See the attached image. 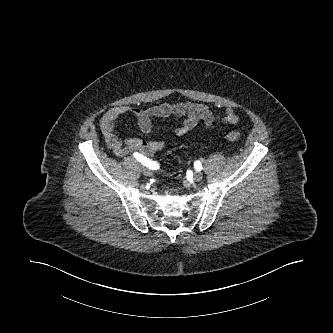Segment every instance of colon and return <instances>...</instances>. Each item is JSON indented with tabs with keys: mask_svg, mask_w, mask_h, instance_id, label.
Masks as SVG:
<instances>
[{
	"mask_svg": "<svg viewBox=\"0 0 333 333\" xmlns=\"http://www.w3.org/2000/svg\"><path fill=\"white\" fill-rule=\"evenodd\" d=\"M240 133L237 132V131H229L226 133V138L229 140V141H232V142H236V141H239L240 140Z\"/></svg>",
	"mask_w": 333,
	"mask_h": 333,
	"instance_id": "5ec220e1",
	"label": "colon"
}]
</instances>
